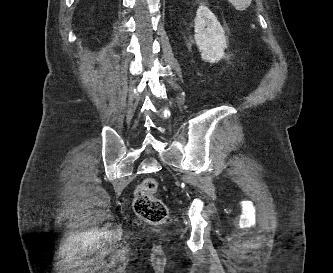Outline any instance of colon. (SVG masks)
I'll use <instances>...</instances> for the list:
<instances>
[{
    "label": "colon",
    "instance_id": "1",
    "mask_svg": "<svg viewBox=\"0 0 333 273\" xmlns=\"http://www.w3.org/2000/svg\"><path fill=\"white\" fill-rule=\"evenodd\" d=\"M157 182L146 178L135 191L133 207L135 213L150 224H161L168 217L166 205L155 196Z\"/></svg>",
    "mask_w": 333,
    "mask_h": 273
}]
</instances>
